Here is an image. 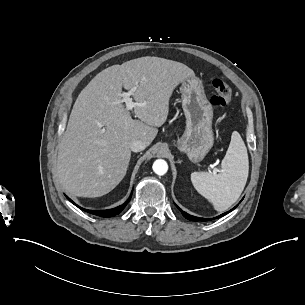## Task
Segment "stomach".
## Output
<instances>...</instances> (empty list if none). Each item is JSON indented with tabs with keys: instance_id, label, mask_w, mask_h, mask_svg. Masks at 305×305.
Here are the masks:
<instances>
[{
	"instance_id": "obj_1",
	"label": "stomach",
	"mask_w": 305,
	"mask_h": 305,
	"mask_svg": "<svg viewBox=\"0 0 305 305\" xmlns=\"http://www.w3.org/2000/svg\"><path fill=\"white\" fill-rule=\"evenodd\" d=\"M181 94L186 126L183 135L174 145L180 152L185 153L193 164H198L214 146L213 106L198 78L184 81Z\"/></svg>"
}]
</instances>
